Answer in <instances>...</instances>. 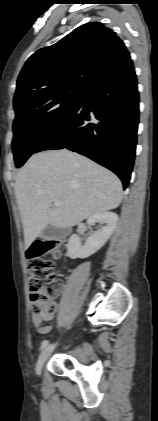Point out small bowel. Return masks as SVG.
<instances>
[{"instance_id":"obj_1","label":"small bowel","mask_w":158,"mask_h":421,"mask_svg":"<svg viewBox=\"0 0 158 421\" xmlns=\"http://www.w3.org/2000/svg\"><path fill=\"white\" fill-rule=\"evenodd\" d=\"M51 318H52V315L47 316L45 318H39L35 316L34 314L32 315V322L38 333L47 334L50 332L51 326L47 324V321L51 320Z\"/></svg>"}]
</instances>
